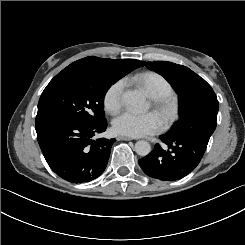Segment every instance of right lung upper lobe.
<instances>
[{
	"mask_svg": "<svg viewBox=\"0 0 245 245\" xmlns=\"http://www.w3.org/2000/svg\"><path fill=\"white\" fill-rule=\"evenodd\" d=\"M80 61L108 64V65L119 67L121 69H127L130 71L142 65V63L139 60H135V59L118 60V59L99 58V57H94V56L80 59Z\"/></svg>",
	"mask_w": 245,
	"mask_h": 245,
	"instance_id": "cb5924a9",
	"label": "right lung upper lobe"
}]
</instances>
